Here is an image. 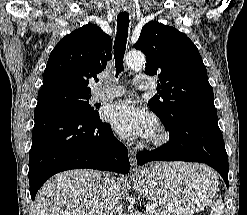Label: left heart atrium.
I'll return each mask as SVG.
<instances>
[{"label": "left heart atrium", "instance_id": "left-heart-atrium-1", "mask_svg": "<svg viewBox=\"0 0 247 215\" xmlns=\"http://www.w3.org/2000/svg\"><path fill=\"white\" fill-rule=\"evenodd\" d=\"M105 117L114 130L125 138H148L156 129L155 118L130 99L108 106Z\"/></svg>", "mask_w": 247, "mask_h": 215}]
</instances>
